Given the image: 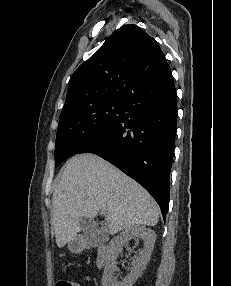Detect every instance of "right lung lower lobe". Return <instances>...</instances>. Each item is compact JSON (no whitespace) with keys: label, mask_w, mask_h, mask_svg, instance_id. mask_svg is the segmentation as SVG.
Listing matches in <instances>:
<instances>
[{"label":"right lung lower lobe","mask_w":231,"mask_h":286,"mask_svg":"<svg viewBox=\"0 0 231 286\" xmlns=\"http://www.w3.org/2000/svg\"><path fill=\"white\" fill-rule=\"evenodd\" d=\"M123 102V116L79 153L97 154L136 180L165 219L178 115L172 74L134 88Z\"/></svg>","instance_id":"98d812e1"}]
</instances>
